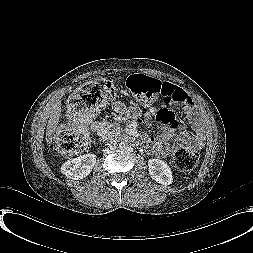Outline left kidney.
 I'll return each instance as SVG.
<instances>
[{
  "mask_svg": "<svg viewBox=\"0 0 253 253\" xmlns=\"http://www.w3.org/2000/svg\"><path fill=\"white\" fill-rule=\"evenodd\" d=\"M149 174L153 180L162 184L170 185L173 182L172 171L164 161L156 158L148 160Z\"/></svg>",
  "mask_w": 253,
  "mask_h": 253,
  "instance_id": "obj_1",
  "label": "left kidney"
}]
</instances>
